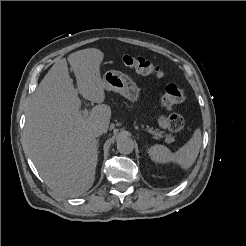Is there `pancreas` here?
<instances>
[{
    "instance_id": "pancreas-1",
    "label": "pancreas",
    "mask_w": 246,
    "mask_h": 246,
    "mask_svg": "<svg viewBox=\"0 0 246 246\" xmlns=\"http://www.w3.org/2000/svg\"><path fill=\"white\" fill-rule=\"evenodd\" d=\"M155 133H157V134H162V132H159V130L158 129H155V130H153ZM162 136V135H161ZM166 137V141L167 142H172L174 139H173V137H171L170 135H167V136H165Z\"/></svg>"
}]
</instances>
